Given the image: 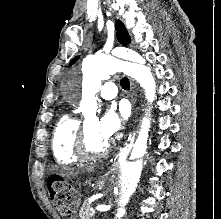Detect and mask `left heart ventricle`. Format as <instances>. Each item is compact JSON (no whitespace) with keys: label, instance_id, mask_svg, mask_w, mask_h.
Listing matches in <instances>:
<instances>
[{"label":"left heart ventricle","instance_id":"obj_1","mask_svg":"<svg viewBox=\"0 0 221 219\" xmlns=\"http://www.w3.org/2000/svg\"><path fill=\"white\" fill-rule=\"evenodd\" d=\"M97 123L96 119H89L85 124L87 147L93 152L100 151L107 143L106 140L99 136L97 132Z\"/></svg>","mask_w":221,"mask_h":219}]
</instances>
